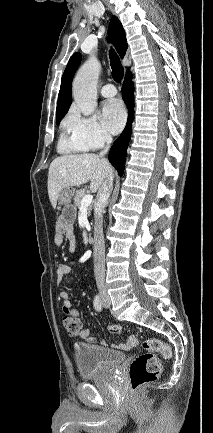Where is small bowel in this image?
<instances>
[{
	"label": "small bowel",
	"mask_w": 213,
	"mask_h": 433,
	"mask_svg": "<svg viewBox=\"0 0 213 433\" xmlns=\"http://www.w3.org/2000/svg\"><path fill=\"white\" fill-rule=\"evenodd\" d=\"M73 215L71 213H65L61 216L55 226V236H54V245L56 247H61L66 239L68 242V250L73 253L76 250L77 239L73 228ZM72 272V266L70 262H62L58 265L56 269V280L58 284H64L66 279ZM59 297L62 300V310L64 313L67 312H76L75 309L72 308L70 296L66 291H60ZM78 336L88 342H95V338L91 336V331L89 328H83L78 333ZM137 344V339L135 340H127L119 345L118 348L121 349H129Z\"/></svg>",
	"instance_id": "c3829d8e"
}]
</instances>
